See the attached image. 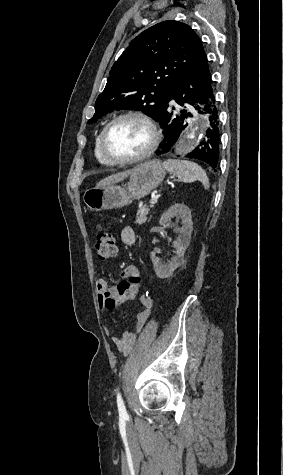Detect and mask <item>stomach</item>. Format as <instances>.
Returning a JSON list of instances; mask_svg holds the SVG:
<instances>
[{"instance_id":"1","label":"stomach","mask_w":283,"mask_h":475,"mask_svg":"<svg viewBox=\"0 0 283 475\" xmlns=\"http://www.w3.org/2000/svg\"><path fill=\"white\" fill-rule=\"evenodd\" d=\"M166 172L160 160H145L138 164L130 174L126 186H104V188H90L86 190L83 200L93 212L113 210L131 204L132 200H141L148 196L151 190L158 188L163 182Z\"/></svg>"}]
</instances>
